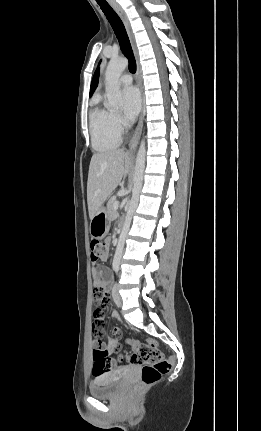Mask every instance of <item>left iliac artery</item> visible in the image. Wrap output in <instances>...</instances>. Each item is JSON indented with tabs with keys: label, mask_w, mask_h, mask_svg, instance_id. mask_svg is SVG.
<instances>
[{
	"label": "left iliac artery",
	"mask_w": 261,
	"mask_h": 431,
	"mask_svg": "<svg viewBox=\"0 0 261 431\" xmlns=\"http://www.w3.org/2000/svg\"><path fill=\"white\" fill-rule=\"evenodd\" d=\"M115 271H116V273H117V272H118V269H116Z\"/></svg>",
	"instance_id": "1"
}]
</instances>
